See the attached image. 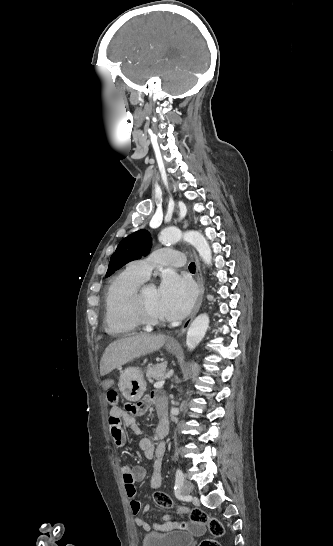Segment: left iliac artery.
<instances>
[{"label":"left iliac artery","instance_id":"obj_1","mask_svg":"<svg viewBox=\"0 0 333 546\" xmlns=\"http://www.w3.org/2000/svg\"><path fill=\"white\" fill-rule=\"evenodd\" d=\"M184 481V474L181 469L176 470V479H175V487L174 489L177 491L180 489V487L183 485Z\"/></svg>","mask_w":333,"mask_h":546}]
</instances>
